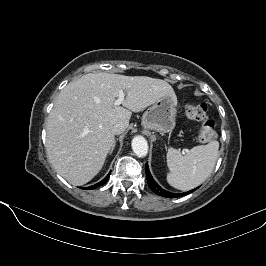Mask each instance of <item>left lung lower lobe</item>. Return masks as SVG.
Returning <instances> with one entry per match:
<instances>
[{
	"label": "left lung lower lobe",
	"instance_id": "left-lung-lower-lobe-1",
	"mask_svg": "<svg viewBox=\"0 0 266 266\" xmlns=\"http://www.w3.org/2000/svg\"><path fill=\"white\" fill-rule=\"evenodd\" d=\"M145 169H146V176H147V182H148V186L149 188L157 195L162 196V197H169V198H176V197H181V196H185L186 194H189L193 191H195L197 188L190 190L188 192H183V193H172L169 191H166L164 189H162L156 182L155 180L152 178L151 173L149 171V167L148 164L146 163L145 165Z\"/></svg>",
	"mask_w": 266,
	"mask_h": 266
}]
</instances>
